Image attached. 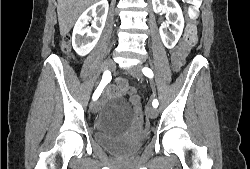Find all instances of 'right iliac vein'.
Wrapping results in <instances>:
<instances>
[{
  "label": "right iliac vein",
  "mask_w": 250,
  "mask_h": 169,
  "mask_svg": "<svg viewBox=\"0 0 250 169\" xmlns=\"http://www.w3.org/2000/svg\"><path fill=\"white\" fill-rule=\"evenodd\" d=\"M115 62L111 59H107L103 65H102V70L107 71V70H114L115 69ZM99 104L97 101H92L90 104V109L93 113H96L98 110Z\"/></svg>",
  "instance_id": "1"
}]
</instances>
